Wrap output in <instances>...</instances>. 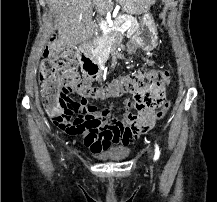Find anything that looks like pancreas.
<instances>
[{
  "label": "pancreas",
  "mask_w": 217,
  "mask_h": 202,
  "mask_svg": "<svg viewBox=\"0 0 217 202\" xmlns=\"http://www.w3.org/2000/svg\"><path fill=\"white\" fill-rule=\"evenodd\" d=\"M128 20L132 22V26H130L127 32V36H132V34H135L136 30H138L139 26L136 20H134V17L130 16L128 17ZM111 27L114 29L116 28V25L113 24ZM102 42L103 46H101L100 50L106 54V56H102V58H104V60H107V54H110L112 50H116V48L120 46L122 42V34H120V32H116V30H111V32L103 34Z\"/></svg>",
  "instance_id": "1"
}]
</instances>
